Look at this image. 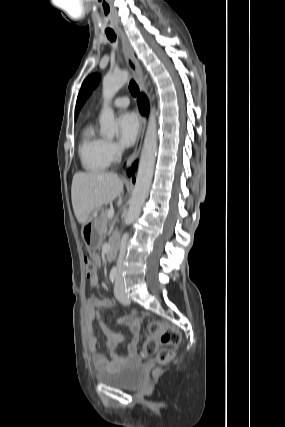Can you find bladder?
<instances>
[{
	"label": "bladder",
	"instance_id": "bladder-1",
	"mask_svg": "<svg viewBox=\"0 0 285 427\" xmlns=\"http://www.w3.org/2000/svg\"><path fill=\"white\" fill-rule=\"evenodd\" d=\"M143 378V367L135 363L117 371L99 373L97 379L105 385L121 389H133L140 385Z\"/></svg>",
	"mask_w": 285,
	"mask_h": 427
}]
</instances>
